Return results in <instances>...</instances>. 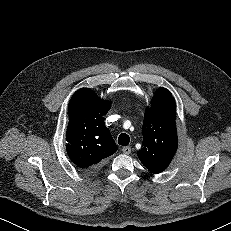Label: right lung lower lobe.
Listing matches in <instances>:
<instances>
[{
  "mask_svg": "<svg viewBox=\"0 0 231 231\" xmlns=\"http://www.w3.org/2000/svg\"><path fill=\"white\" fill-rule=\"evenodd\" d=\"M95 169H97V167H96V168H91V169H89V170H87V171H93V170H95Z\"/></svg>",
  "mask_w": 231,
  "mask_h": 231,
  "instance_id": "1",
  "label": "right lung lower lobe"
}]
</instances>
